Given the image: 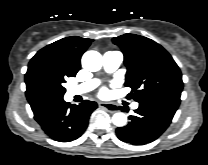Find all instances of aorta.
Instances as JSON below:
<instances>
[{
	"label": "aorta",
	"instance_id": "aorta-1",
	"mask_svg": "<svg viewBox=\"0 0 208 165\" xmlns=\"http://www.w3.org/2000/svg\"><path fill=\"white\" fill-rule=\"evenodd\" d=\"M81 62L84 69L96 72L101 69L103 58L99 52L90 50L83 54ZM112 122L117 127H122L127 123V116L122 112H117L113 115Z\"/></svg>",
	"mask_w": 208,
	"mask_h": 165
}]
</instances>
